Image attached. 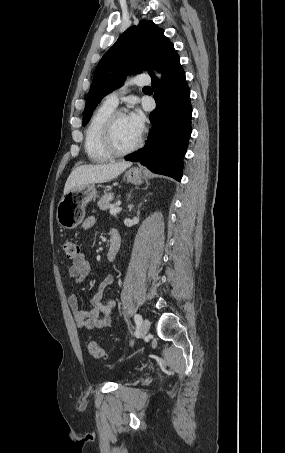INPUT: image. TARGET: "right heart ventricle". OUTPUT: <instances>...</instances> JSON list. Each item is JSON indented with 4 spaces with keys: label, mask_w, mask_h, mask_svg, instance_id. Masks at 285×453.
Listing matches in <instances>:
<instances>
[{
    "label": "right heart ventricle",
    "mask_w": 285,
    "mask_h": 453,
    "mask_svg": "<svg viewBox=\"0 0 285 453\" xmlns=\"http://www.w3.org/2000/svg\"><path fill=\"white\" fill-rule=\"evenodd\" d=\"M114 110V106L103 102L93 112L86 127L84 148L89 160L94 163L106 162L112 157L102 144V129L106 119Z\"/></svg>",
    "instance_id": "e07e8e85"
}]
</instances>
